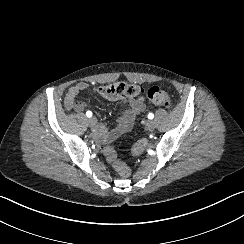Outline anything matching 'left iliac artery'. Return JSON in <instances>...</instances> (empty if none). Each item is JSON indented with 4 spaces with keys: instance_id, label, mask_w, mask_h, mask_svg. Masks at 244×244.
<instances>
[{
    "instance_id": "left-iliac-artery-1",
    "label": "left iliac artery",
    "mask_w": 244,
    "mask_h": 244,
    "mask_svg": "<svg viewBox=\"0 0 244 244\" xmlns=\"http://www.w3.org/2000/svg\"><path fill=\"white\" fill-rule=\"evenodd\" d=\"M148 118H149V119H153V118H154V115H153L152 113H149V114H148Z\"/></svg>"
}]
</instances>
